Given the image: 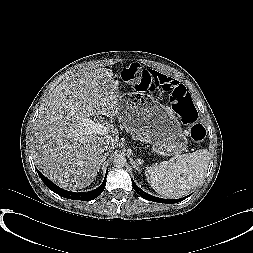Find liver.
Instances as JSON below:
<instances>
[{
    "mask_svg": "<svg viewBox=\"0 0 253 253\" xmlns=\"http://www.w3.org/2000/svg\"><path fill=\"white\" fill-rule=\"evenodd\" d=\"M118 85L110 69L78 70L53 89L33 124L34 162L63 189L89 186L105 146H115V135L88 134L81 120L95 115L119 119Z\"/></svg>",
    "mask_w": 253,
    "mask_h": 253,
    "instance_id": "6515ba94",
    "label": "liver"
}]
</instances>
